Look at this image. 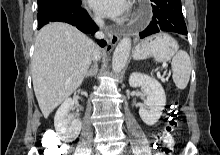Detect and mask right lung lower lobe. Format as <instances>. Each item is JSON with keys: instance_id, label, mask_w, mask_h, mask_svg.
<instances>
[{"instance_id": "1", "label": "right lung lower lobe", "mask_w": 220, "mask_h": 155, "mask_svg": "<svg viewBox=\"0 0 220 155\" xmlns=\"http://www.w3.org/2000/svg\"><path fill=\"white\" fill-rule=\"evenodd\" d=\"M38 29L43 27L49 22H66L73 26H76L84 33L94 34L98 27L94 21L89 17L88 13L81 7V4H59L46 9L38 11ZM98 44L101 47H105L107 42L104 40H98ZM110 49V46H108Z\"/></svg>"}]
</instances>
